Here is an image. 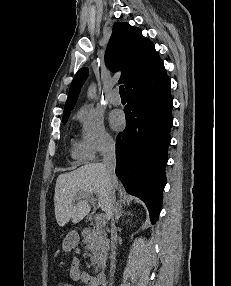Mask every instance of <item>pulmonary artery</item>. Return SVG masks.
Masks as SVG:
<instances>
[{"label": "pulmonary artery", "mask_w": 231, "mask_h": 286, "mask_svg": "<svg viewBox=\"0 0 231 286\" xmlns=\"http://www.w3.org/2000/svg\"><path fill=\"white\" fill-rule=\"evenodd\" d=\"M109 101L113 105L121 104V97L119 95V91L117 88L113 89V91L111 92V94L109 96Z\"/></svg>", "instance_id": "e3ab8cb5"}]
</instances>
